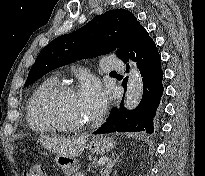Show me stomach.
Returning <instances> with one entry per match:
<instances>
[{"label": "stomach", "mask_w": 205, "mask_h": 176, "mask_svg": "<svg viewBox=\"0 0 205 176\" xmlns=\"http://www.w3.org/2000/svg\"><path fill=\"white\" fill-rule=\"evenodd\" d=\"M114 146L115 141L112 137L96 136L89 142L88 149L92 154L103 155L105 152L110 151ZM54 162L68 176L77 172L79 169V163L74 157L56 154Z\"/></svg>", "instance_id": "stomach-1"}]
</instances>
